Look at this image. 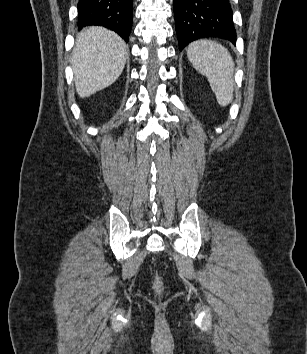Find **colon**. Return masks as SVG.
I'll return each instance as SVG.
<instances>
[{
	"label": "colon",
	"mask_w": 307,
	"mask_h": 354,
	"mask_svg": "<svg viewBox=\"0 0 307 354\" xmlns=\"http://www.w3.org/2000/svg\"><path fill=\"white\" fill-rule=\"evenodd\" d=\"M153 288L156 293L160 294L163 291V283L160 277H156L153 283Z\"/></svg>",
	"instance_id": "5ec220e1"
}]
</instances>
